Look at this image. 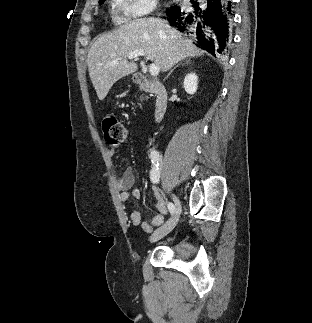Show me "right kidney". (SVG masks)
<instances>
[{"instance_id":"ca27d5eb","label":"right kidney","mask_w":312,"mask_h":323,"mask_svg":"<svg viewBox=\"0 0 312 323\" xmlns=\"http://www.w3.org/2000/svg\"><path fill=\"white\" fill-rule=\"evenodd\" d=\"M183 88L187 94H195L198 88V76L196 74H187Z\"/></svg>"}]
</instances>
